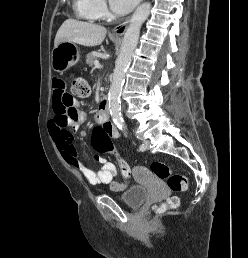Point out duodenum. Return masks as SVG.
<instances>
[{"instance_id":"1","label":"duodenum","mask_w":248,"mask_h":258,"mask_svg":"<svg viewBox=\"0 0 248 258\" xmlns=\"http://www.w3.org/2000/svg\"><path fill=\"white\" fill-rule=\"evenodd\" d=\"M108 99L107 97H103L102 99V103H101V107H100V115L103 119H107L109 120L110 119V112H109V106H108Z\"/></svg>"}]
</instances>
